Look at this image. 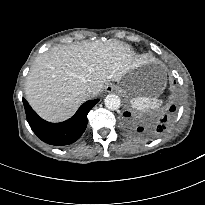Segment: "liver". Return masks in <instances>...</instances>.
Listing matches in <instances>:
<instances>
[{
	"label": "liver",
	"instance_id": "liver-1",
	"mask_svg": "<svg viewBox=\"0 0 205 205\" xmlns=\"http://www.w3.org/2000/svg\"><path fill=\"white\" fill-rule=\"evenodd\" d=\"M140 63L129 45L115 39L54 46L31 66L26 99L43 119L61 122L99 94L105 83L121 80Z\"/></svg>",
	"mask_w": 205,
	"mask_h": 205
}]
</instances>
